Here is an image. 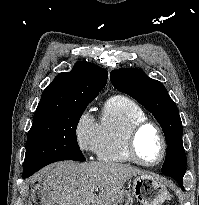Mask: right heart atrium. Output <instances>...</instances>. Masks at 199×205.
Here are the masks:
<instances>
[{"label": "right heart atrium", "mask_w": 199, "mask_h": 205, "mask_svg": "<svg viewBox=\"0 0 199 205\" xmlns=\"http://www.w3.org/2000/svg\"><path fill=\"white\" fill-rule=\"evenodd\" d=\"M97 127L94 117L87 109L78 119L75 128V139L81 151L92 153L96 149Z\"/></svg>", "instance_id": "d8ad5b80"}]
</instances>
